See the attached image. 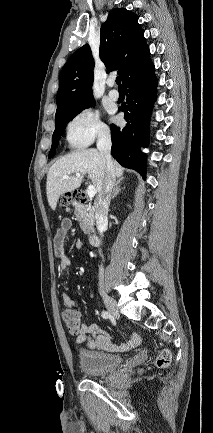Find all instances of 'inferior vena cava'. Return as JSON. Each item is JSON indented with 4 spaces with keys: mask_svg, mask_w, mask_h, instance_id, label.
<instances>
[{
    "mask_svg": "<svg viewBox=\"0 0 213 433\" xmlns=\"http://www.w3.org/2000/svg\"><path fill=\"white\" fill-rule=\"evenodd\" d=\"M97 149L99 150L101 156L106 162V176L104 181V186L99 192L97 200L95 202L96 210V222L98 225V230L100 236L103 237V227L107 225V215L109 210V204L111 199V193L115 182V174L113 169V163L111 158V137L108 131H104L99 134L97 141ZM103 269L100 268L99 272V290L103 292Z\"/></svg>",
    "mask_w": 213,
    "mask_h": 433,
    "instance_id": "inferior-vena-cava-1",
    "label": "inferior vena cava"
}]
</instances>
